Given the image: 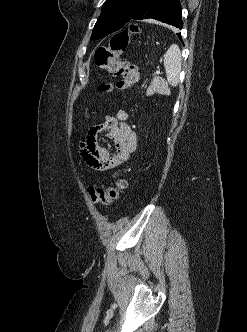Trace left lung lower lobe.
Wrapping results in <instances>:
<instances>
[{"instance_id":"1","label":"left lung lower lobe","mask_w":247,"mask_h":332,"mask_svg":"<svg viewBox=\"0 0 247 332\" xmlns=\"http://www.w3.org/2000/svg\"><path fill=\"white\" fill-rule=\"evenodd\" d=\"M155 19L182 29L181 5L179 0H147L134 14L131 21ZM182 41L181 35L178 34Z\"/></svg>"}]
</instances>
